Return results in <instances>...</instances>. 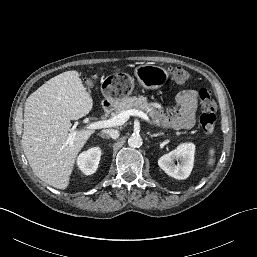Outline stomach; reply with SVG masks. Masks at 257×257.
Instances as JSON below:
<instances>
[{
  "instance_id": "1",
  "label": "stomach",
  "mask_w": 257,
  "mask_h": 257,
  "mask_svg": "<svg viewBox=\"0 0 257 257\" xmlns=\"http://www.w3.org/2000/svg\"><path fill=\"white\" fill-rule=\"evenodd\" d=\"M134 72L145 89H158L168 79L167 70L159 65L142 63L135 68ZM133 88L134 82L130 76L115 75L108 77L101 84V92L104 96L102 105L116 107L132 93Z\"/></svg>"
}]
</instances>
